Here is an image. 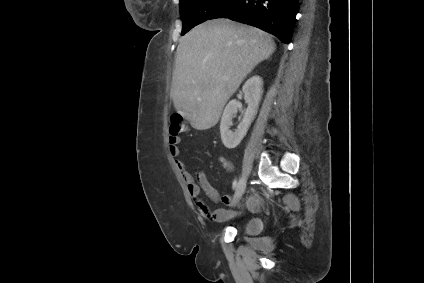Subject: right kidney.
<instances>
[{"mask_svg":"<svg viewBox=\"0 0 424 283\" xmlns=\"http://www.w3.org/2000/svg\"><path fill=\"white\" fill-rule=\"evenodd\" d=\"M262 87L263 81L261 77L257 75L249 78L243 85L242 90L244 93V99L248 104V107L235 132H232L230 127L232 125V119L238 110L239 104L236 100H231L226 105L220 122V133L221 140L228 149L237 147L246 135L250 124L257 114L259 102L263 93Z\"/></svg>","mask_w":424,"mask_h":283,"instance_id":"1","label":"right kidney"}]
</instances>
